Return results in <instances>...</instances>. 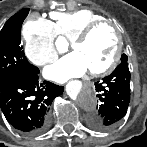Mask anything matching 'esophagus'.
Wrapping results in <instances>:
<instances>
[{
	"instance_id": "34e87169",
	"label": "esophagus",
	"mask_w": 147,
	"mask_h": 147,
	"mask_svg": "<svg viewBox=\"0 0 147 147\" xmlns=\"http://www.w3.org/2000/svg\"><path fill=\"white\" fill-rule=\"evenodd\" d=\"M87 84H88L89 86H91V87L93 86V83H92V82H88Z\"/></svg>"
}]
</instances>
